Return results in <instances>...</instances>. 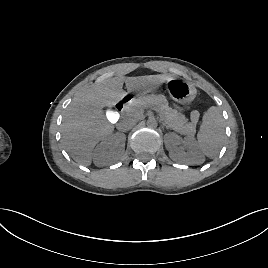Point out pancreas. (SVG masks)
<instances>
[{"instance_id":"cf45deb5","label":"pancreas","mask_w":268,"mask_h":268,"mask_svg":"<svg viewBox=\"0 0 268 268\" xmlns=\"http://www.w3.org/2000/svg\"><path fill=\"white\" fill-rule=\"evenodd\" d=\"M147 107L154 108L160 114L166 127L183 135L193 136L195 134L196 122H188L185 115L172 109L163 95L141 96L129 106V112L139 115Z\"/></svg>"}]
</instances>
